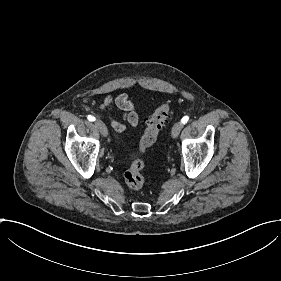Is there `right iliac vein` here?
I'll use <instances>...</instances> for the list:
<instances>
[{
  "instance_id": "obj_1",
  "label": "right iliac vein",
  "mask_w": 281,
  "mask_h": 281,
  "mask_svg": "<svg viewBox=\"0 0 281 281\" xmlns=\"http://www.w3.org/2000/svg\"><path fill=\"white\" fill-rule=\"evenodd\" d=\"M95 123H96L98 129L103 132L104 137H107L106 135H107V133H108V131H107L108 129H107L106 124H104V123H103L102 121H100L99 119H96V120H95ZM104 137H103V138H104Z\"/></svg>"
}]
</instances>
